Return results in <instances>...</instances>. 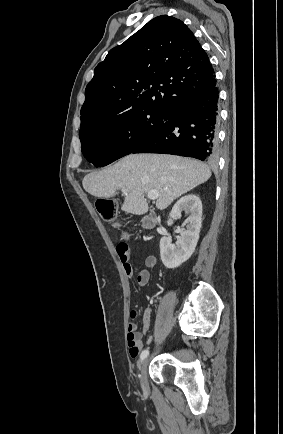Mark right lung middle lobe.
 I'll return each mask as SVG.
<instances>
[{
    "instance_id": "right-lung-middle-lobe-1",
    "label": "right lung middle lobe",
    "mask_w": 283,
    "mask_h": 434,
    "mask_svg": "<svg viewBox=\"0 0 283 434\" xmlns=\"http://www.w3.org/2000/svg\"><path fill=\"white\" fill-rule=\"evenodd\" d=\"M167 119V111L136 109L80 130L84 157L96 167L130 154Z\"/></svg>"
}]
</instances>
